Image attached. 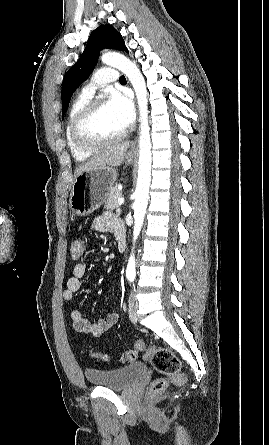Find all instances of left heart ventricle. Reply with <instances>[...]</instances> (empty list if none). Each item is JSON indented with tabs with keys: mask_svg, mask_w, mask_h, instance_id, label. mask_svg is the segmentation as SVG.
I'll list each match as a JSON object with an SVG mask.
<instances>
[{
	"mask_svg": "<svg viewBox=\"0 0 269 445\" xmlns=\"http://www.w3.org/2000/svg\"><path fill=\"white\" fill-rule=\"evenodd\" d=\"M125 127L118 120L107 103L101 106L86 127V132L93 137H109L118 134Z\"/></svg>",
	"mask_w": 269,
	"mask_h": 445,
	"instance_id": "obj_1",
	"label": "left heart ventricle"
}]
</instances>
